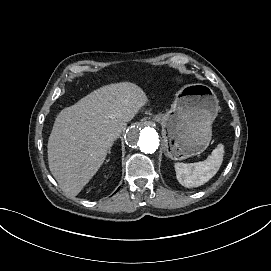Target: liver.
Wrapping results in <instances>:
<instances>
[{
    "mask_svg": "<svg viewBox=\"0 0 271 271\" xmlns=\"http://www.w3.org/2000/svg\"><path fill=\"white\" fill-rule=\"evenodd\" d=\"M146 94L130 82L103 86L63 109L48 139L49 169L61 188L76 196L103 164L112 144L147 103Z\"/></svg>",
    "mask_w": 271,
    "mask_h": 271,
    "instance_id": "liver-1",
    "label": "liver"
}]
</instances>
